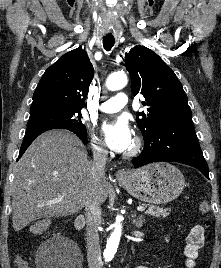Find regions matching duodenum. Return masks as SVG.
<instances>
[{"instance_id": "duodenum-1", "label": "duodenum", "mask_w": 221, "mask_h": 268, "mask_svg": "<svg viewBox=\"0 0 221 268\" xmlns=\"http://www.w3.org/2000/svg\"><path fill=\"white\" fill-rule=\"evenodd\" d=\"M85 225V218L83 216H79L75 221L76 230L80 231Z\"/></svg>"}]
</instances>
